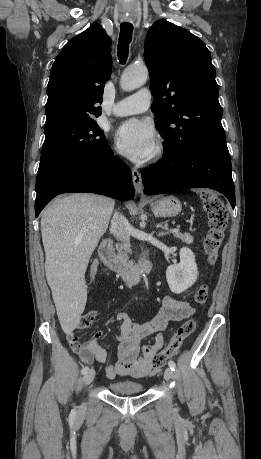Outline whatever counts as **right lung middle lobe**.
I'll use <instances>...</instances> for the list:
<instances>
[{
    "label": "right lung middle lobe",
    "instance_id": "obj_1",
    "mask_svg": "<svg viewBox=\"0 0 261 459\" xmlns=\"http://www.w3.org/2000/svg\"><path fill=\"white\" fill-rule=\"evenodd\" d=\"M44 131L36 181L63 165L103 158L109 150L104 132L95 120L59 124Z\"/></svg>",
    "mask_w": 261,
    "mask_h": 459
}]
</instances>
